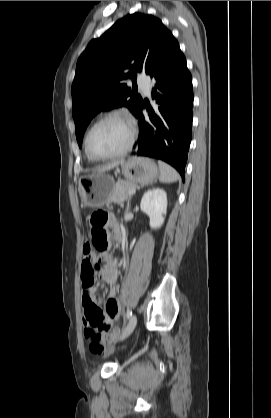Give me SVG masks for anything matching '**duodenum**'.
<instances>
[{
	"label": "duodenum",
	"instance_id": "1",
	"mask_svg": "<svg viewBox=\"0 0 271 418\" xmlns=\"http://www.w3.org/2000/svg\"><path fill=\"white\" fill-rule=\"evenodd\" d=\"M116 238H119V233H116Z\"/></svg>",
	"mask_w": 271,
	"mask_h": 418
}]
</instances>
